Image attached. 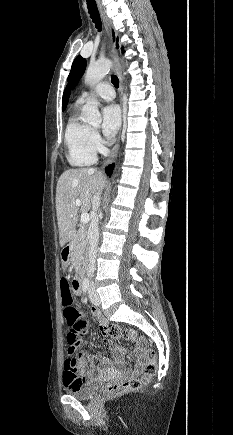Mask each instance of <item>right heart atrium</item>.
I'll return each mask as SVG.
<instances>
[{
    "label": "right heart atrium",
    "mask_w": 233,
    "mask_h": 435,
    "mask_svg": "<svg viewBox=\"0 0 233 435\" xmlns=\"http://www.w3.org/2000/svg\"><path fill=\"white\" fill-rule=\"evenodd\" d=\"M91 145H92V148L94 149L95 152L100 151L102 148L101 137L98 134V132L95 130H92V133H91Z\"/></svg>",
    "instance_id": "right-heart-atrium-1"
}]
</instances>
